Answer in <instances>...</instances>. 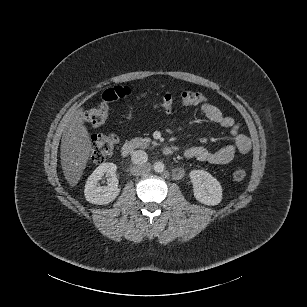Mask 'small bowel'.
<instances>
[{
    "instance_id": "obj_1",
    "label": "small bowel",
    "mask_w": 307,
    "mask_h": 307,
    "mask_svg": "<svg viewBox=\"0 0 307 307\" xmlns=\"http://www.w3.org/2000/svg\"><path fill=\"white\" fill-rule=\"evenodd\" d=\"M201 111L210 122L229 130L231 143L216 151H210L202 146L190 147L184 152L186 158L212 165H222L250 151L251 141L248 136L240 133V124L234 118L225 115L217 106L210 103H204Z\"/></svg>"
}]
</instances>
